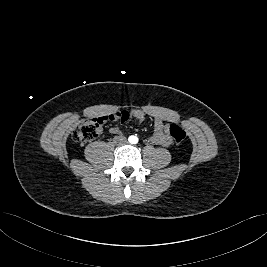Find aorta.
<instances>
[{"mask_svg":"<svg viewBox=\"0 0 267 267\" xmlns=\"http://www.w3.org/2000/svg\"><path fill=\"white\" fill-rule=\"evenodd\" d=\"M129 142L130 143H136L137 142V138L134 137V136H131V137H129Z\"/></svg>","mask_w":267,"mask_h":267,"instance_id":"1","label":"aorta"}]
</instances>
